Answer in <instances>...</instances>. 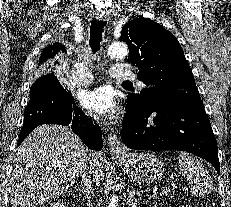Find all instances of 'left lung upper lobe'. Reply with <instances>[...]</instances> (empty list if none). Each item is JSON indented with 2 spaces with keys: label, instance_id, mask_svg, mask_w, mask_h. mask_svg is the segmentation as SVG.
Here are the masks:
<instances>
[{
  "label": "left lung upper lobe",
  "instance_id": "1",
  "mask_svg": "<svg viewBox=\"0 0 231 207\" xmlns=\"http://www.w3.org/2000/svg\"><path fill=\"white\" fill-rule=\"evenodd\" d=\"M120 40L128 44V62L147 85L139 94H128L129 109L169 108L201 100L180 43L163 26L135 18L123 27Z\"/></svg>",
  "mask_w": 231,
  "mask_h": 207
}]
</instances>
